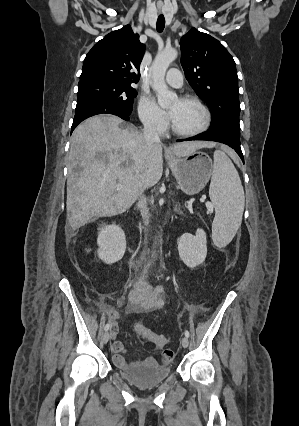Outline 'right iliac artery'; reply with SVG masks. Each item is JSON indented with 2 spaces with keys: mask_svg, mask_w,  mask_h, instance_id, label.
I'll return each mask as SVG.
<instances>
[{
  "mask_svg": "<svg viewBox=\"0 0 299 426\" xmlns=\"http://www.w3.org/2000/svg\"><path fill=\"white\" fill-rule=\"evenodd\" d=\"M147 269V268H146ZM146 269L144 270V272L146 271ZM109 328H110V324L109 323H107L106 325H105V327H104V330L105 331H108L109 330Z\"/></svg>",
  "mask_w": 299,
  "mask_h": 426,
  "instance_id": "right-iliac-artery-1",
  "label": "right iliac artery"
}]
</instances>
